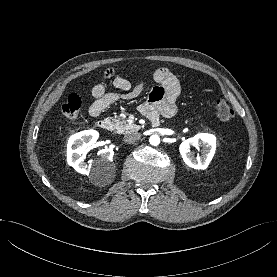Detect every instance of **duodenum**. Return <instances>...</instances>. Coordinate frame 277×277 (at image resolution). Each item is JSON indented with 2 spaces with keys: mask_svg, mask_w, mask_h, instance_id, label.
Segmentation results:
<instances>
[{
  "mask_svg": "<svg viewBox=\"0 0 277 277\" xmlns=\"http://www.w3.org/2000/svg\"><path fill=\"white\" fill-rule=\"evenodd\" d=\"M154 123L157 122L158 120L156 118H152L151 119ZM96 126L99 128V129H102V130H109L110 128V122L108 120H99L96 122Z\"/></svg>",
  "mask_w": 277,
  "mask_h": 277,
  "instance_id": "duodenum-1",
  "label": "duodenum"
}]
</instances>
